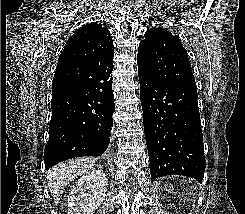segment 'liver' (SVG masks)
<instances>
[{
  "mask_svg": "<svg viewBox=\"0 0 245 214\" xmlns=\"http://www.w3.org/2000/svg\"><path fill=\"white\" fill-rule=\"evenodd\" d=\"M95 164V159H73L60 163L47 172L46 183L54 202L59 203L65 187L78 176L88 172Z\"/></svg>",
  "mask_w": 245,
  "mask_h": 214,
  "instance_id": "1",
  "label": "liver"
}]
</instances>
